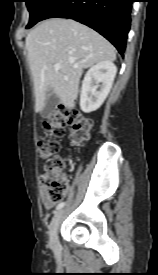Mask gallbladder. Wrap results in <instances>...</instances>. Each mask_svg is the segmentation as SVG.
Wrapping results in <instances>:
<instances>
[{
    "mask_svg": "<svg viewBox=\"0 0 158 275\" xmlns=\"http://www.w3.org/2000/svg\"><path fill=\"white\" fill-rule=\"evenodd\" d=\"M59 103V97L56 94H51L45 102L44 108L41 111V115L45 118L50 116L52 112L57 108Z\"/></svg>",
    "mask_w": 158,
    "mask_h": 275,
    "instance_id": "gallbladder-1",
    "label": "gallbladder"
}]
</instances>
